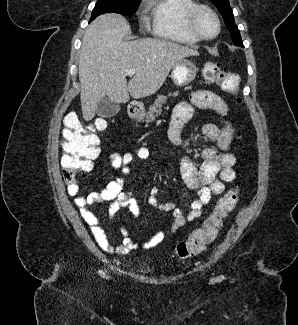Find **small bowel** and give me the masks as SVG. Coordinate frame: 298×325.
I'll use <instances>...</instances> for the list:
<instances>
[{
    "label": "small bowel",
    "instance_id": "c3829d8e",
    "mask_svg": "<svg viewBox=\"0 0 298 325\" xmlns=\"http://www.w3.org/2000/svg\"><path fill=\"white\" fill-rule=\"evenodd\" d=\"M193 105L201 109H210L221 116H227L229 108L227 103L216 93L208 90H198L190 94L188 101L180 102L174 109L168 128V137L171 143L177 146H186L188 142L182 137V129L190 120L193 113ZM203 138L215 142L218 151L212 147L202 150L203 163L198 168L189 157H183L180 162L181 176L187 187L198 193V198L192 202L187 214L172 202H161L158 199V189L153 187L148 197L151 207L160 212H171L174 222L166 231H160L147 240L142 247L152 249L168 236L174 234L179 228L184 227L201 216L204 206L211 199L220 195L225 190V185L232 182L235 177L234 165L236 158L229 151L234 139V127L230 122L222 126L206 124L202 129ZM150 150L139 147L131 152L111 153L108 161L113 169L121 176L129 175V165L136 159L146 160L150 157ZM68 194L74 197V202L80 213L89 225L98 246L105 252L111 254L125 255L137 248V244L129 236L127 230L122 229L123 240L119 245H112L107 239L99 217L91 210V206L97 202H109V214L114 215L120 208H127L134 217L140 214L139 206L133 198L131 191L124 190V180L118 177L110 181L105 188L98 192H92L86 196L79 194L77 182L68 184Z\"/></svg>",
    "mask_w": 298,
    "mask_h": 325
}]
</instances>
